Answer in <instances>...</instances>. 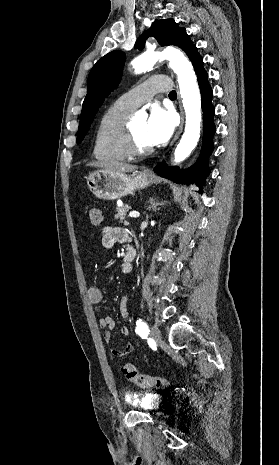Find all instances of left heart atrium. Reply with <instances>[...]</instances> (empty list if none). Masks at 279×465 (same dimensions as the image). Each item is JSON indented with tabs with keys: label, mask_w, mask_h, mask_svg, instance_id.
Here are the masks:
<instances>
[{
	"label": "left heart atrium",
	"mask_w": 279,
	"mask_h": 465,
	"mask_svg": "<svg viewBox=\"0 0 279 465\" xmlns=\"http://www.w3.org/2000/svg\"><path fill=\"white\" fill-rule=\"evenodd\" d=\"M175 125V116L171 111L159 106L152 107L145 126L146 136L151 146L166 142L173 134Z\"/></svg>",
	"instance_id": "left-heart-atrium-1"
}]
</instances>
